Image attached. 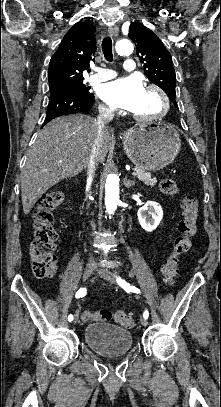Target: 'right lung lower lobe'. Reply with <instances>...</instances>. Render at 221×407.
Here are the masks:
<instances>
[{
    "mask_svg": "<svg viewBox=\"0 0 221 407\" xmlns=\"http://www.w3.org/2000/svg\"><path fill=\"white\" fill-rule=\"evenodd\" d=\"M94 103V95L64 94L50 98L44 124L52 119L89 110Z\"/></svg>",
    "mask_w": 221,
    "mask_h": 407,
    "instance_id": "1",
    "label": "right lung lower lobe"
}]
</instances>
